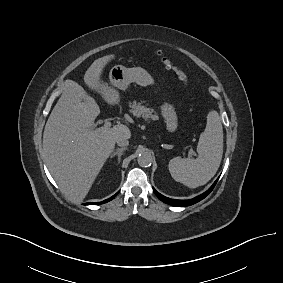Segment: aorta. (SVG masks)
<instances>
[{"mask_svg": "<svg viewBox=\"0 0 283 283\" xmlns=\"http://www.w3.org/2000/svg\"><path fill=\"white\" fill-rule=\"evenodd\" d=\"M137 161L141 167H148L152 164V155L149 152L144 151L139 154Z\"/></svg>", "mask_w": 283, "mask_h": 283, "instance_id": "obj_1", "label": "aorta"}]
</instances>
